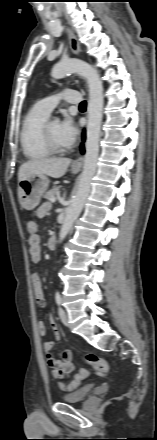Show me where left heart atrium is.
Instances as JSON below:
<instances>
[{
    "label": "left heart atrium",
    "instance_id": "1",
    "mask_svg": "<svg viewBox=\"0 0 157 440\" xmlns=\"http://www.w3.org/2000/svg\"><path fill=\"white\" fill-rule=\"evenodd\" d=\"M60 135L66 145L73 144L78 137V129L74 121L67 117L60 124Z\"/></svg>",
    "mask_w": 157,
    "mask_h": 440
}]
</instances>
